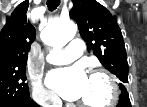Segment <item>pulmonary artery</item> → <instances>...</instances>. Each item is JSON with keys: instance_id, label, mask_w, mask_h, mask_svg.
<instances>
[{"instance_id": "pulmonary-artery-1", "label": "pulmonary artery", "mask_w": 147, "mask_h": 107, "mask_svg": "<svg viewBox=\"0 0 147 107\" xmlns=\"http://www.w3.org/2000/svg\"><path fill=\"white\" fill-rule=\"evenodd\" d=\"M83 51V41L79 38H75L65 49L51 53L46 59L52 64H67L81 56Z\"/></svg>"}]
</instances>
